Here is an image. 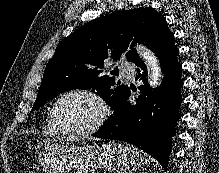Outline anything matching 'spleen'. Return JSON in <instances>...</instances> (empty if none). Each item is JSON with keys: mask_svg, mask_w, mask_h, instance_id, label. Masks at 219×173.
I'll list each match as a JSON object with an SVG mask.
<instances>
[{"mask_svg": "<svg viewBox=\"0 0 219 173\" xmlns=\"http://www.w3.org/2000/svg\"><path fill=\"white\" fill-rule=\"evenodd\" d=\"M141 162H143V164L147 165L149 163V160L145 159V158H141Z\"/></svg>", "mask_w": 219, "mask_h": 173, "instance_id": "obj_1", "label": "spleen"}]
</instances>
